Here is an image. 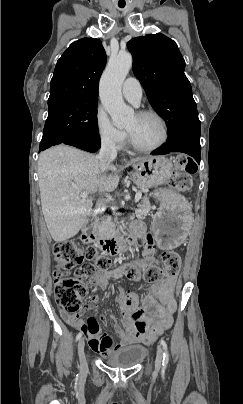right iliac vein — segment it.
I'll list each match as a JSON object with an SVG mask.
<instances>
[{
    "label": "right iliac vein",
    "mask_w": 243,
    "mask_h": 404,
    "mask_svg": "<svg viewBox=\"0 0 243 404\" xmlns=\"http://www.w3.org/2000/svg\"><path fill=\"white\" fill-rule=\"evenodd\" d=\"M84 346H85L84 340L80 339L78 342V355L80 360V368L81 370L86 371L88 368V364L84 353Z\"/></svg>",
    "instance_id": "63e3f726"
}]
</instances>
